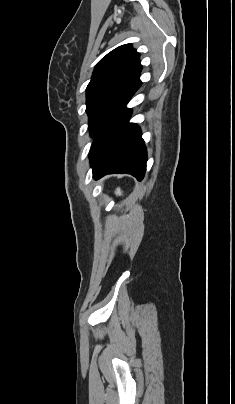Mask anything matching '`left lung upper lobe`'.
Masks as SVG:
<instances>
[{
    "label": "left lung upper lobe",
    "mask_w": 235,
    "mask_h": 404,
    "mask_svg": "<svg viewBox=\"0 0 235 404\" xmlns=\"http://www.w3.org/2000/svg\"><path fill=\"white\" fill-rule=\"evenodd\" d=\"M141 69L139 53L130 44L117 47L98 62L86 89L91 136L138 90Z\"/></svg>",
    "instance_id": "5c2ea615"
}]
</instances>
